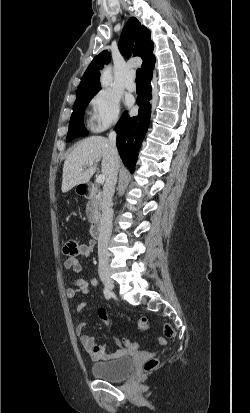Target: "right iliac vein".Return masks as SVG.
Returning <instances> with one entry per match:
<instances>
[{
  "instance_id": "1",
  "label": "right iliac vein",
  "mask_w": 250,
  "mask_h": 413,
  "mask_svg": "<svg viewBox=\"0 0 250 413\" xmlns=\"http://www.w3.org/2000/svg\"><path fill=\"white\" fill-rule=\"evenodd\" d=\"M101 280L104 283V285L109 289V290H113L114 289V283L113 281L110 279L109 275L105 272H102L100 274Z\"/></svg>"
}]
</instances>
